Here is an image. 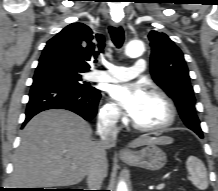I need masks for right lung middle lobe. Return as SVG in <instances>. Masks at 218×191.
<instances>
[{
	"label": "right lung middle lobe",
	"mask_w": 218,
	"mask_h": 191,
	"mask_svg": "<svg viewBox=\"0 0 218 191\" xmlns=\"http://www.w3.org/2000/svg\"><path fill=\"white\" fill-rule=\"evenodd\" d=\"M82 73L63 60L53 56H41L39 65L36 68L35 76L42 74H54L69 82L73 87L85 91H93L95 88L88 86V83L82 81Z\"/></svg>",
	"instance_id": "dd1d6c3e"
}]
</instances>
